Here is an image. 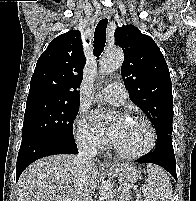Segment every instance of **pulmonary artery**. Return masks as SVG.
I'll use <instances>...</instances> for the list:
<instances>
[{"mask_svg":"<svg viewBox=\"0 0 196 201\" xmlns=\"http://www.w3.org/2000/svg\"><path fill=\"white\" fill-rule=\"evenodd\" d=\"M100 95L105 101L113 105H121L127 98V91L122 83L117 82L104 88Z\"/></svg>","mask_w":196,"mask_h":201,"instance_id":"e3ab8cb5","label":"pulmonary artery"}]
</instances>
